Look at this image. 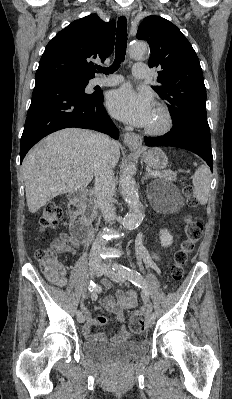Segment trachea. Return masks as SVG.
Returning a JSON list of instances; mask_svg holds the SVG:
<instances>
[{"label": "trachea", "instance_id": "1", "mask_svg": "<svg viewBox=\"0 0 232 399\" xmlns=\"http://www.w3.org/2000/svg\"><path fill=\"white\" fill-rule=\"evenodd\" d=\"M127 48V20L126 17L121 16L118 19L117 33H116V44H115V60L113 64L107 68V71L103 67H98V72L107 74L115 72L120 66L121 62L124 61Z\"/></svg>", "mask_w": 232, "mask_h": 399}]
</instances>
